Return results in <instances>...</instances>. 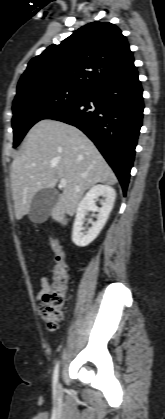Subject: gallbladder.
Returning a JSON list of instances; mask_svg holds the SVG:
<instances>
[{
	"mask_svg": "<svg viewBox=\"0 0 165 419\" xmlns=\"http://www.w3.org/2000/svg\"><path fill=\"white\" fill-rule=\"evenodd\" d=\"M59 198L55 189H42L38 191L31 202L29 219L34 223H43L51 214Z\"/></svg>",
	"mask_w": 165,
	"mask_h": 419,
	"instance_id": "1",
	"label": "gallbladder"
}]
</instances>
